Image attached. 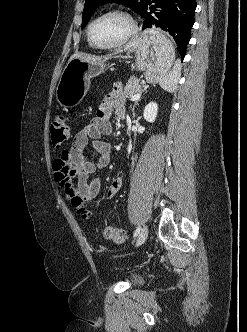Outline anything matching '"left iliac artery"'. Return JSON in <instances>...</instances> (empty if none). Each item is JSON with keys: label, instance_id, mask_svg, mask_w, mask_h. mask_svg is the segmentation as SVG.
<instances>
[{"label": "left iliac artery", "instance_id": "obj_1", "mask_svg": "<svg viewBox=\"0 0 247 332\" xmlns=\"http://www.w3.org/2000/svg\"><path fill=\"white\" fill-rule=\"evenodd\" d=\"M140 230H141V226L139 225V226L136 228L133 237H136V236L140 233Z\"/></svg>", "mask_w": 247, "mask_h": 332}]
</instances>
